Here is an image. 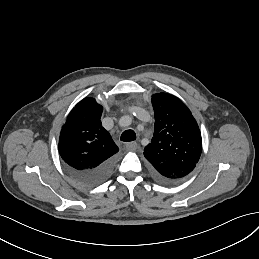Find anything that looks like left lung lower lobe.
Returning <instances> with one entry per match:
<instances>
[{"label": "left lung lower lobe", "mask_w": 259, "mask_h": 259, "mask_svg": "<svg viewBox=\"0 0 259 259\" xmlns=\"http://www.w3.org/2000/svg\"><path fill=\"white\" fill-rule=\"evenodd\" d=\"M154 175H155V177H156L159 181H161V182H163V183H172V182H173V181L164 179V178H162V177H160V176H158V175H156V174H154Z\"/></svg>", "instance_id": "0a47b994"}]
</instances>
